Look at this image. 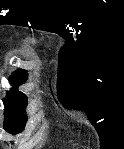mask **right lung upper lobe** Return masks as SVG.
<instances>
[{"instance_id":"1","label":"right lung upper lobe","mask_w":124,"mask_h":149,"mask_svg":"<svg viewBox=\"0 0 124 149\" xmlns=\"http://www.w3.org/2000/svg\"><path fill=\"white\" fill-rule=\"evenodd\" d=\"M27 71L22 69H17L12 76L9 77V81L13 86H18L27 80Z\"/></svg>"}]
</instances>
